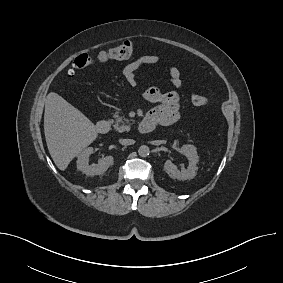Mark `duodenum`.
Listing matches in <instances>:
<instances>
[{
  "mask_svg": "<svg viewBox=\"0 0 283 283\" xmlns=\"http://www.w3.org/2000/svg\"><path fill=\"white\" fill-rule=\"evenodd\" d=\"M110 126L111 125H110V122L108 120H100L96 124V129H97L98 133L106 134L107 132H109ZM153 128H154L153 123L150 120H148L147 118H144L138 126V130L141 133H148Z\"/></svg>",
  "mask_w": 283,
  "mask_h": 283,
  "instance_id": "duodenum-1",
  "label": "duodenum"
}]
</instances>
